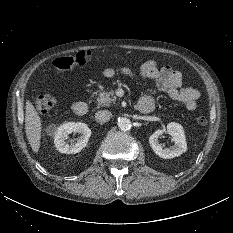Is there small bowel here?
<instances>
[{
	"mask_svg": "<svg viewBox=\"0 0 233 233\" xmlns=\"http://www.w3.org/2000/svg\"><path fill=\"white\" fill-rule=\"evenodd\" d=\"M102 75L106 78L116 75H123L132 79L138 77L131 68L125 66L105 68ZM139 76L144 80L154 81L159 91L164 92L170 100L182 103L187 111L196 110L200 93L195 88L182 86L183 76L180 71L169 66L159 68L155 61L148 60L141 65ZM139 102L150 103L154 107L155 96L146 93L140 98Z\"/></svg>",
	"mask_w": 233,
	"mask_h": 233,
	"instance_id": "small-bowel-1",
	"label": "small bowel"
}]
</instances>
